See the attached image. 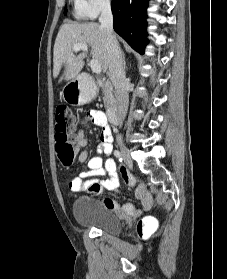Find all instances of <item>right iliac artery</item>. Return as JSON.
<instances>
[{
  "label": "right iliac artery",
  "mask_w": 227,
  "mask_h": 279,
  "mask_svg": "<svg viewBox=\"0 0 227 279\" xmlns=\"http://www.w3.org/2000/svg\"><path fill=\"white\" fill-rule=\"evenodd\" d=\"M114 155L119 159L120 162H122L123 158H122L121 152H119L118 150H115Z\"/></svg>",
  "instance_id": "82829eb1"
}]
</instances>
